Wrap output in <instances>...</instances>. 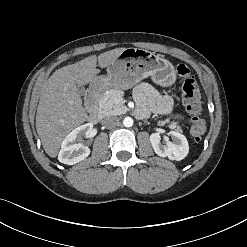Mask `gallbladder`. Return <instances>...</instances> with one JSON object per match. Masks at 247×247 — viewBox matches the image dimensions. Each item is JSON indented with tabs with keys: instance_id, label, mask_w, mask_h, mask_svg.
Returning <instances> with one entry per match:
<instances>
[{
	"instance_id": "obj_1",
	"label": "gallbladder",
	"mask_w": 247,
	"mask_h": 247,
	"mask_svg": "<svg viewBox=\"0 0 247 247\" xmlns=\"http://www.w3.org/2000/svg\"><path fill=\"white\" fill-rule=\"evenodd\" d=\"M77 91H78V93H79L81 96L85 95V88H84V86L78 85V86H77Z\"/></svg>"
}]
</instances>
